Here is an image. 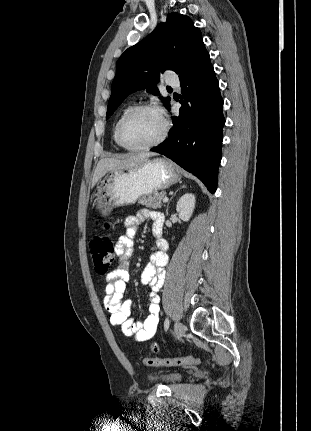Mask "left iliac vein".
<instances>
[{
	"instance_id": "1",
	"label": "left iliac vein",
	"mask_w": 311,
	"mask_h": 431,
	"mask_svg": "<svg viewBox=\"0 0 311 431\" xmlns=\"http://www.w3.org/2000/svg\"><path fill=\"white\" fill-rule=\"evenodd\" d=\"M186 331V327L182 322H176L175 329H174V337L175 339L179 340L182 338Z\"/></svg>"
}]
</instances>
